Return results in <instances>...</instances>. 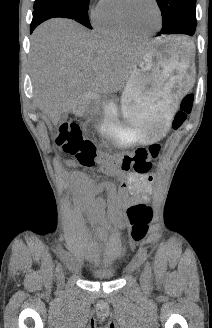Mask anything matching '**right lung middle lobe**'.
<instances>
[{"mask_svg":"<svg viewBox=\"0 0 212 328\" xmlns=\"http://www.w3.org/2000/svg\"><path fill=\"white\" fill-rule=\"evenodd\" d=\"M90 0H35L34 12L55 14V17L74 19L82 25L92 28L87 8Z\"/></svg>","mask_w":212,"mask_h":328,"instance_id":"dd1d6c3e","label":"right lung middle lobe"}]
</instances>
